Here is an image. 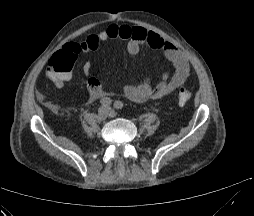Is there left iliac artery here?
<instances>
[{
  "label": "left iliac artery",
  "mask_w": 254,
  "mask_h": 216,
  "mask_svg": "<svg viewBox=\"0 0 254 216\" xmlns=\"http://www.w3.org/2000/svg\"><path fill=\"white\" fill-rule=\"evenodd\" d=\"M113 106H114V108L120 110L123 108V103L121 101H116V102H114Z\"/></svg>",
  "instance_id": "44dca946"
}]
</instances>
